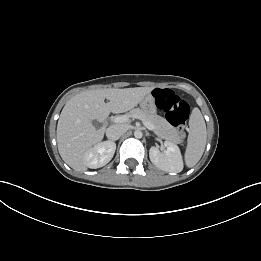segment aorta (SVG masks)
Here are the masks:
<instances>
[{
  "label": "aorta",
  "instance_id": "aorta-1",
  "mask_svg": "<svg viewBox=\"0 0 261 261\" xmlns=\"http://www.w3.org/2000/svg\"><path fill=\"white\" fill-rule=\"evenodd\" d=\"M142 132L140 131V130H136L135 132H134V136H135V138H138V139H140V138H142Z\"/></svg>",
  "mask_w": 261,
  "mask_h": 261
}]
</instances>
